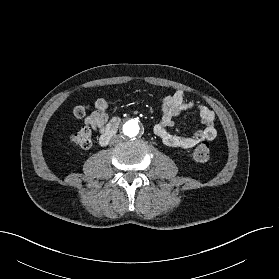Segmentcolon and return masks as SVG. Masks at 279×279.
Masks as SVG:
<instances>
[{"label":"colon","mask_w":279,"mask_h":279,"mask_svg":"<svg viewBox=\"0 0 279 279\" xmlns=\"http://www.w3.org/2000/svg\"><path fill=\"white\" fill-rule=\"evenodd\" d=\"M86 113V107L79 105L73 109V114L77 118H82ZM69 141L79 148H89L92 143V133L90 128L83 127L80 130L73 132L69 136ZM193 159L196 162L205 163L210 158V146L207 142L201 143L193 151Z\"/></svg>","instance_id":"obj_1"}]
</instances>
